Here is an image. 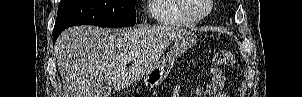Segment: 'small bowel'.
Wrapping results in <instances>:
<instances>
[{"label": "small bowel", "mask_w": 302, "mask_h": 97, "mask_svg": "<svg viewBox=\"0 0 302 97\" xmlns=\"http://www.w3.org/2000/svg\"><path fill=\"white\" fill-rule=\"evenodd\" d=\"M179 89H180L179 86L174 87L172 97H179ZM218 97H226V95L222 93Z\"/></svg>", "instance_id": "1"}]
</instances>
